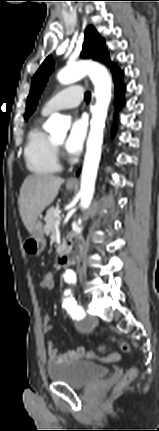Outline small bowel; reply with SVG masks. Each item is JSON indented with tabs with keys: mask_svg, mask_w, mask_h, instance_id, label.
Here are the masks:
<instances>
[{
	"mask_svg": "<svg viewBox=\"0 0 159 431\" xmlns=\"http://www.w3.org/2000/svg\"><path fill=\"white\" fill-rule=\"evenodd\" d=\"M46 272L42 279L40 280V288L48 290L50 280L48 277H50L51 267H46ZM53 329V326L50 322V317L48 315H45L43 317V330L45 332H50ZM86 349L83 346L76 347L72 350L67 351L66 353L59 354L58 350L55 346V344L52 341L47 342V354H48V361L49 363H68L72 362L78 359H81L86 354Z\"/></svg>",
	"mask_w": 159,
	"mask_h": 431,
	"instance_id": "obj_1",
	"label": "small bowel"
}]
</instances>
